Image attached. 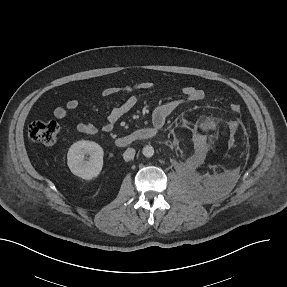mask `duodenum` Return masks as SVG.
<instances>
[{
	"instance_id": "duodenum-1",
	"label": "duodenum",
	"mask_w": 287,
	"mask_h": 287,
	"mask_svg": "<svg viewBox=\"0 0 287 287\" xmlns=\"http://www.w3.org/2000/svg\"><path fill=\"white\" fill-rule=\"evenodd\" d=\"M157 129L155 127H142L129 135L119 137L115 140L118 147H126L135 141L149 140L155 137Z\"/></svg>"
}]
</instances>
